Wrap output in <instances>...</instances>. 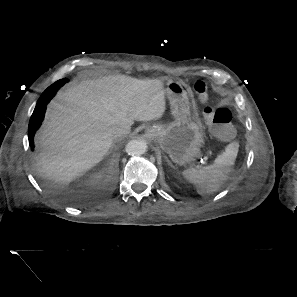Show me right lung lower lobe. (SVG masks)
Listing matches in <instances>:
<instances>
[{"mask_svg":"<svg viewBox=\"0 0 297 297\" xmlns=\"http://www.w3.org/2000/svg\"><path fill=\"white\" fill-rule=\"evenodd\" d=\"M53 96L54 95H41L31 116L28 127V138L30 146L32 147L31 150L34 149V135L42 124L45 116L46 106Z\"/></svg>","mask_w":297,"mask_h":297,"instance_id":"1","label":"right lung lower lobe"}]
</instances>
